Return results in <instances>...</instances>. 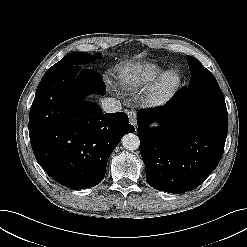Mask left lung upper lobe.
I'll list each match as a JSON object with an SVG mask.
<instances>
[{
    "mask_svg": "<svg viewBox=\"0 0 247 247\" xmlns=\"http://www.w3.org/2000/svg\"><path fill=\"white\" fill-rule=\"evenodd\" d=\"M186 59L191 72L190 82H192L195 78L199 77L203 73V71H206L207 69L196 58L192 56H186Z\"/></svg>",
    "mask_w": 247,
    "mask_h": 247,
    "instance_id": "left-lung-upper-lobe-1",
    "label": "left lung upper lobe"
}]
</instances>
